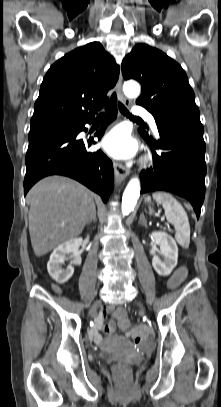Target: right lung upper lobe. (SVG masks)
<instances>
[{
	"mask_svg": "<svg viewBox=\"0 0 221 407\" xmlns=\"http://www.w3.org/2000/svg\"><path fill=\"white\" fill-rule=\"evenodd\" d=\"M119 66L99 42L79 47L46 73L34 105L31 128L73 124L94 118L118 80ZM115 94L111 102L114 104Z\"/></svg>",
	"mask_w": 221,
	"mask_h": 407,
	"instance_id": "cb5924a9",
	"label": "right lung upper lobe"
}]
</instances>
